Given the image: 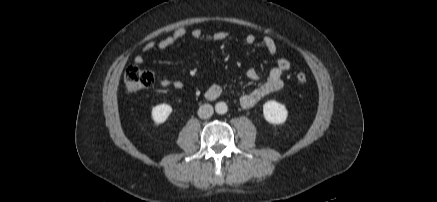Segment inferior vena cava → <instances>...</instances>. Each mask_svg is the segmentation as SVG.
I'll return each mask as SVG.
<instances>
[{
	"mask_svg": "<svg viewBox=\"0 0 437 202\" xmlns=\"http://www.w3.org/2000/svg\"><path fill=\"white\" fill-rule=\"evenodd\" d=\"M213 112V107L210 104H203L198 109V116L201 119H207L213 115Z\"/></svg>",
	"mask_w": 437,
	"mask_h": 202,
	"instance_id": "1",
	"label": "inferior vena cava"
}]
</instances>
